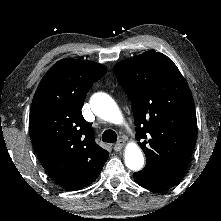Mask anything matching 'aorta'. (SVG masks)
<instances>
[{
	"label": "aorta",
	"mask_w": 221,
	"mask_h": 221,
	"mask_svg": "<svg viewBox=\"0 0 221 221\" xmlns=\"http://www.w3.org/2000/svg\"><path fill=\"white\" fill-rule=\"evenodd\" d=\"M90 106L95 115L113 124H120L122 113L116 102L106 93H95L90 99ZM124 161L132 171H139L144 165V156L135 143L128 144L125 149Z\"/></svg>",
	"instance_id": "1"
}]
</instances>
